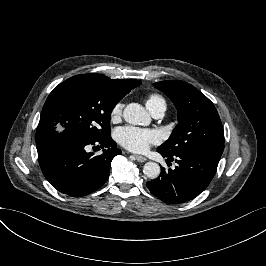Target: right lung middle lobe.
<instances>
[{"label":"right lung middle lobe","instance_id":"dd1d6c3e","mask_svg":"<svg viewBox=\"0 0 266 266\" xmlns=\"http://www.w3.org/2000/svg\"><path fill=\"white\" fill-rule=\"evenodd\" d=\"M141 82L81 74L59 84L48 96L36 132V145L58 135L90 140L110 135L114 106Z\"/></svg>","mask_w":266,"mask_h":266}]
</instances>
